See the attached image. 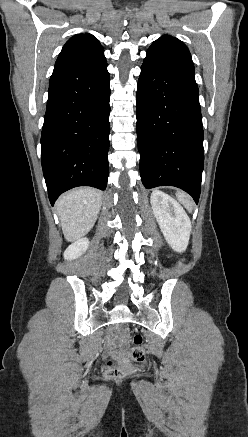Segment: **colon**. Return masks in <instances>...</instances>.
Masks as SVG:
<instances>
[{
	"label": "colon",
	"instance_id": "obj_1",
	"mask_svg": "<svg viewBox=\"0 0 248 437\" xmlns=\"http://www.w3.org/2000/svg\"><path fill=\"white\" fill-rule=\"evenodd\" d=\"M133 346L129 350V358L134 363H141L145 359V349L142 345V336L136 334L132 337ZM135 371L134 366H121L115 360H108L104 365V374L111 380H118Z\"/></svg>",
	"mask_w": 248,
	"mask_h": 437
}]
</instances>
